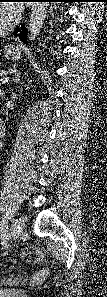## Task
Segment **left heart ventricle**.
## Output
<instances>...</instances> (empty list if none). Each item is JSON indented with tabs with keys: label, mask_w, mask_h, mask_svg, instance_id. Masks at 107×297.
<instances>
[{
	"label": "left heart ventricle",
	"mask_w": 107,
	"mask_h": 297,
	"mask_svg": "<svg viewBox=\"0 0 107 297\" xmlns=\"http://www.w3.org/2000/svg\"><path fill=\"white\" fill-rule=\"evenodd\" d=\"M0 11H1L0 26L7 25L14 19L13 7L11 5L2 4L0 6Z\"/></svg>",
	"instance_id": "obj_1"
}]
</instances>
